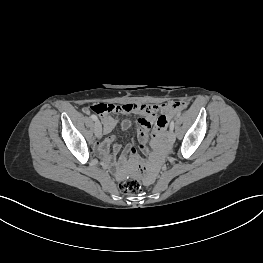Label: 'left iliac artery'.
<instances>
[{"label":"left iliac artery","instance_id":"left-iliac-artery-1","mask_svg":"<svg viewBox=\"0 0 263 263\" xmlns=\"http://www.w3.org/2000/svg\"><path fill=\"white\" fill-rule=\"evenodd\" d=\"M174 125H175V123H174V121L172 120L171 123H170V130H172V131L174 130Z\"/></svg>","mask_w":263,"mask_h":263}]
</instances>
